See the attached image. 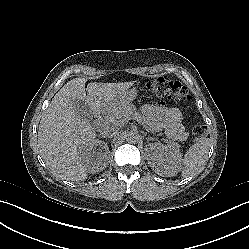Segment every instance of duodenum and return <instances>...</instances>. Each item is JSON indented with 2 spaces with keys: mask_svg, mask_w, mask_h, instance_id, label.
Returning <instances> with one entry per match:
<instances>
[{
  "mask_svg": "<svg viewBox=\"0 0 249 249\" xmlns=\"http://www.w3.org/2000/svg\"><path fill=\"white\" fill-rule=\"evenodd\" d=\"M105 121H107V116L103 114L101 117V122H105Z\"/></svg>",
  "mask_w": 249,
  "mask_h": 249,
  "instance_id": "obj_1",
  "label": "duodenum"
}]
</instances>
